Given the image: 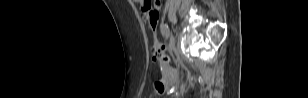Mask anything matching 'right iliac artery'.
<instances>
[{"label": "right iliac artery", "mask_w": 308, "mask_h": 98, "mask_svg": "<svg viewBox=\"0 0 308 98\" xmlns=\"http://www.w3.org/2000/svg\"><path fill=\"white\" fill-rule=\"evenodd\" d=\"M160 29H161L162 35L165 36L166 38H168L169 35H170L168 26L162 25Z\"/></svg>", "instance_id": "82829eb1"}]
</instances>
